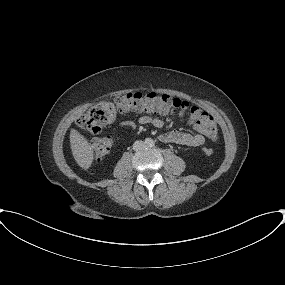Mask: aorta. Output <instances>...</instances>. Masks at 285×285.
I'll list each match as a JSON object with an SVG mask.
<instances>
[{
  "mask_svg": "<svg viewBox=\"0 0 285 285\" xmlns=\"http://www.w3.org/2000/svg\"><path fill=\"white\" fill-rule=\"evenodd\" d=\"M148 145H149V146H152V145H153V141H152V140H149Z\"/></svg>",
  "mask_w": 285,
  "mask_h": 285,
  "instance_id": "1",
  "label": "aorta"
}]
</instances>
